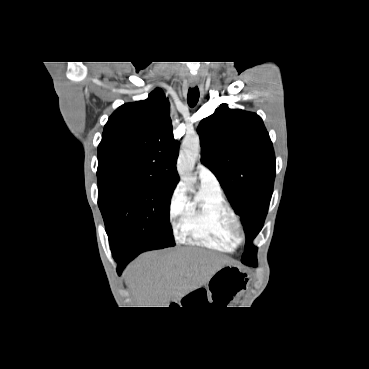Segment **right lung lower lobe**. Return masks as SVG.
Listing matches in <instances>:
<instances>
[{"label":"right lung lower lobe","mask_w":369,"mask_h":369,"mask_svg":"<svg viewBox=\"0 0 369 369\" xmlns=\"http://www.w3.org/2000/svg\"><path fill=\"white\" fill-rule=\"evenodd\" d=\"M113 256L118 262V273L120 274L127 263H129L132 259H134L138 254L130 253L126 250H118V251H112Z\"/></svg>","instance_id":"obj_1"}]
</instances>
